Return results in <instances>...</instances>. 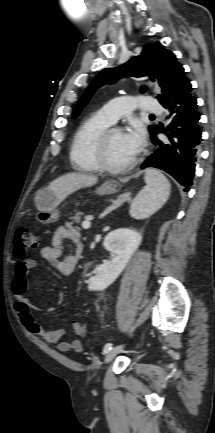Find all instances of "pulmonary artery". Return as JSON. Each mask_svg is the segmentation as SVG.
Instances as JSON below:
<instances>
[{
  "label": "pulmonary artery",
  "mask_w": 215,
  "mask_h": 433,
  "mask_svg": "<svg viewBox=\"0 0 215 433\" xmlns=\"http://www.w3.org/2000/svg\"><path fill=\"white\" fill-rule=\"evenodd\" d=\"M137 107L151 114L161 113L163 109L161 104L151 96L138 98L124 96L103 105L99 113L111 123H115L120 117L132 113Z\"/></svg>",
  "instance_id": "obj_1"
}]
</instances>
